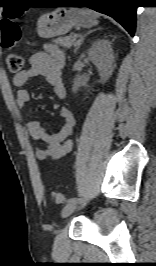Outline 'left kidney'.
Masks as SVG:
<instances>
[{
	"mask_svg": "<svg viewBox=\"0 0 156 266\" xmlns=\"http://www.w3.org/2000/svg\"><path fill=\"white\" fill-rule=\"evenodd\" d=\"M90 61L97 67L102 81L108 80L115 68V58L111 42L100 39L88 51Z\"/></svg>",
	"mask_w": 156,
	"mask_h": 266,
	"instance_id": "1",
	"label": "left kidney"
}]
</instances>
